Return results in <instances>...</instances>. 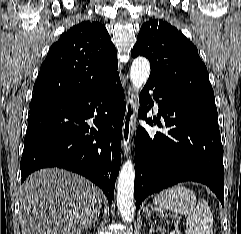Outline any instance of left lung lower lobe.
Here are the masks:
<instances>
[{
	"mask_svg": "<svg viewBox=\"0 0 241 234\" xmlns=\"http://www.w3.org/2000/svg\"><path fill=\"white\" fill-rule=\"evenodd\" d=\"M150 90L159 106L155 120L146 118L154 104ZM139 101V116L150 125L163 124L167 132L150 136L144 128L137 129L136 207L148 195L182 181L206 184L224 205L223 147L216 106L168 89L152 78L148 79Z\"/></svg>",
	"mask_w": 241,
	"mask_h": 234,
	"instance_id": "obj_1",
	"label": "left lung lower lobe"
}]
</instances>
